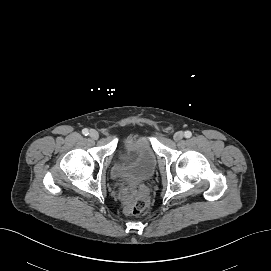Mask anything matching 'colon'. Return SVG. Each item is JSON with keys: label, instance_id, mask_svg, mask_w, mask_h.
<instances>
[{"label": "colon", "instance_id": "1", "mask_svg": "<svg viewBox=\"0 0 271 271\" xmlns=\"http://www.w3.org/2000/svg\"><path fill=\"white\" fill-rule=\"evenodd\" d=\"M148 207V201L145 198H138L126 206V212L132 215L143 213Z\"/></svg>", "mask_w": 271, "mask_h": 271}]
</instances>
